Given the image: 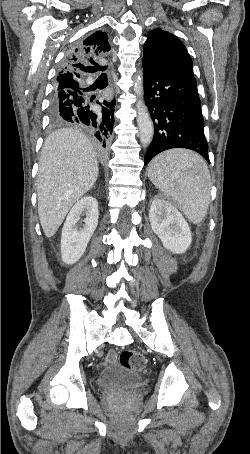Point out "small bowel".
I'll return each instance as SVG.
<instances>
[{
	"label": "small bowel",
	"instance_id": "1",
	"mask_svg": "<svg viewBox=\"0 0 250 454\" xmlns=\"http://www.w3.org/2000/svg\"><path fill=\"white\" fill-rule=\"evenodd\" d=\"M114 358H115V354L114 353H109V355L107 356V360L108 361H112Z\"/></svg>",
	"mask_w": 250,
	"mask_h": 454
}]
</instances>
